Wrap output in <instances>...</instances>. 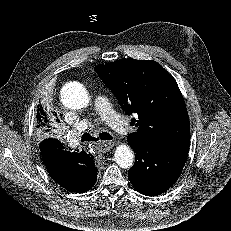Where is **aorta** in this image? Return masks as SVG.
<instances>
[{"mask_svg":"<svg viewBox=\"0 0 231 231\" xmlns=\"http://www.w3.org/2000/svg\"><path fill=\"white\" fill-rule=\"evenodd\" d=\"M62 104L72 110L86 108L90 103V97L86 88L78 82H68L63 86L60 93ZM134 153L129 145H119L114 154L117 165L129 169L134 164Z\"/></svg>","mask_w":231,"mask_h":231,"instance_id":"aorta-1","label":"aorta"}]
</instances>
